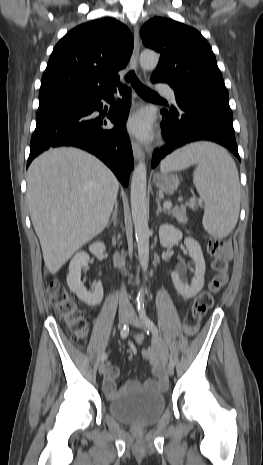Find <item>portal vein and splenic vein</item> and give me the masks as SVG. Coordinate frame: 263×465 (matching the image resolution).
<instances>
[{
  "mask_svg": "<svg viewBox=\"0 0 263 465\" xmlns=\"http://www.w3.org/2000/svg\"><path fill=\"white\" fill-rule=\"evenodd\" d=\"M163 205H164V207L166 209H171L172 208V203L171 202H165ZM186 205H188L190 207H194V206H196V202L195 201H190V202L186 203Z\"/></svg>",
  "mask_w": 263,
  "mask_h": 465,
  "instance_id": "18ae733b",
  "label": "portal vein and splenic vein"
}]
</instances>
